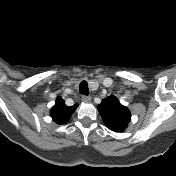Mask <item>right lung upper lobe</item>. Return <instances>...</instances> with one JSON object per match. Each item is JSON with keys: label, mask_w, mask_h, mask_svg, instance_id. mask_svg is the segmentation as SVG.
<instances>
[{"label": "right lung upper lobe", "mask_w": 176, "mask_h": 176, "mask_svg": "<svg viewBox=\"0 0 176 176\" xmlns=\"http://www.w3.org/2000/svg\"><path fill=\"white\" fill-rule=\"evenodd\" d=\"M76 108L77 104L68 107L65 105L64 100L61 97H58L55 105L51 109V117L57 124H64L69 120Z\"/></svg>", "instance_id": "cb5924a9"}]
</instances>
